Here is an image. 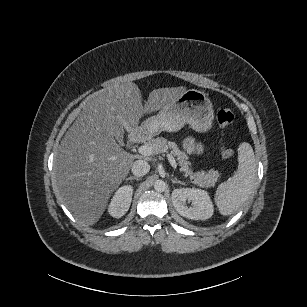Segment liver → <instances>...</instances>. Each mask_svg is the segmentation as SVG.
Instances as JSON below:
<instances>
[{"label": "liver", "mask_w": 307, "mask_h": 307, "mask_svg": "<svg viewBox=\"0 0 307 307\" xmlns=\"http://www.w3.org/2000/svg\"><path fill=\"white\" fill-rule=\"evenodd\" d=\"M184 91L183 86L153 90L144 107L141 90L133 82L88 96L60 143L54 171L59 198L77 220L96 223L109 195L131 168L133 156L116 142L114 130H133L143 109L169 105Z\"/></svg>", "instance_id": "liver-1"}]
</instances>
